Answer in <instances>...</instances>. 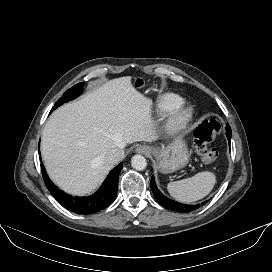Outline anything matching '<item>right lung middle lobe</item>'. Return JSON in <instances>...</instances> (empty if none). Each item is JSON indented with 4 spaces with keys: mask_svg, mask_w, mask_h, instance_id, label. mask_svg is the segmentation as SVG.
<instances>
[{
    "mask_svg": "<svg viewBox=\"0 0 272 272\" xmlns=\"http://www.w3.org/2000/svg\"><path fill=\"white\" fill-rule=\"evenodd\" d=\"M84 83H78L74 85L72 88L68 89L63 96L55 103L54 107L51 111L56 109L58 106L64 104L65 102H68L70 100L75 99L78 97L82 92V87Z\"/></svg>",
    "mask_w": 272,
    "mask_h": 272,
    "instance_id": "1",
    "label": "right lung middle lobe"
}]
</instances>
